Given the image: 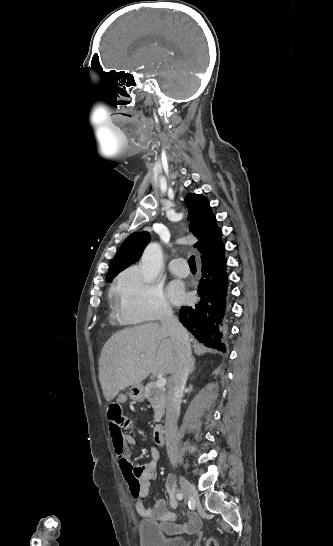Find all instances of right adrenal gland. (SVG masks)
<instances>
[{
	"mask_svg": "<svg viewBox=\"0 0 333 546\" xmlns=\"http://www.w3.org/2000/svg\"><path fill=\"white\" fill-rule=\"evenodd\" d=\"M193 371H194V360L192 361V367H191L190 373H192Z\"/></svg>",
	"mask_w": 333,
	"mask_h": 546,
	"instance_id": "1",
	"label": "right adrenal gland"
}]
</instances>
